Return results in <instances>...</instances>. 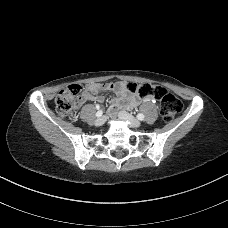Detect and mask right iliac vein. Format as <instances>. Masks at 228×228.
<instances>
[{
	"label": "right iliac vein",
	"mask_w": 228,
	"mask_h": 228,
	"mask_svg": "<svg viewBox=\"0 0 228 228\" xmlns=\"http://www.w3.org/2000/svg\"><path fill=\"white\" fill-rule=\"evenodd\" d=\"M105 121H106V117L105 116L100 117V118L95 120V125L96 126H101V125H103L105 123Z\"/></svg>",
	"instance_id": "63e3f726"
}]
</instances>
